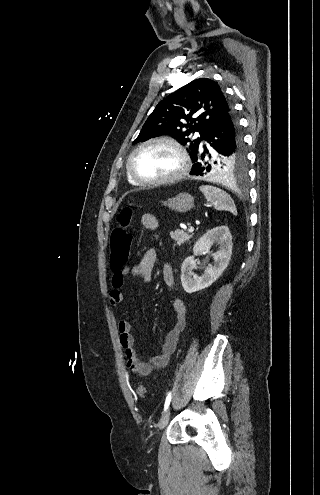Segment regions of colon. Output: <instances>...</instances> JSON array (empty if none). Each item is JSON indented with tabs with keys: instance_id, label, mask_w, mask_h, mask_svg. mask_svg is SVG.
Wrapping results in <instances>:
<instances>
[{
	"instance_id": "5ec220e1",
	"label": "colon",
	"mask_w": 320,
	"mask_h": 495,
	"mask_svg": "<svg viewBox=\"0 0 320 495\" xmlns=\"http://www.w3.org/2000/svg\"><path fill=\"white\" fill-rule=\"evenodd\" d=\"M132 216V208L124 207L118 217V225L112 230L109 247H110V264L111 268L118 271L126 266L129 261L131 248L133 245V236L128 229ZM147 390L145 386L139 385L136 388V395L139 398H145Z\"/></svg>"
}]
</instances>
